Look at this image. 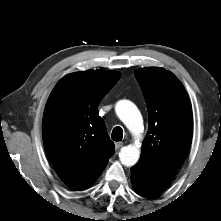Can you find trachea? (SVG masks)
Returning a JSON list of instances; mask_svg holds the SVG:
<instances>
[{
	"mask_svg": "<svg viewBox=\"0 0 221 221\" xmlns=\"http://www.w3.org/2000/svg\"><path fill=\"white\" fill-rule=\"evenodd\" d=\"M112 139L114 141H121L123 138V130L121 127L117 126L113 129L112 131V135H111Z\"/></svg>",
	"mask_w": 221,
	"mask_h": 221,
	"instance_id": "3493384b",
	"label": "trachea"
}]
</instances>
